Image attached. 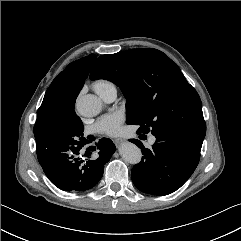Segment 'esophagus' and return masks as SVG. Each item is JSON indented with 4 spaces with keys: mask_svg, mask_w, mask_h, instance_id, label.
<instances>
[{
    "mask_svg": "<svg viewBox=\"0 0 241 241\" xmlns=\"http://www.w3.org/2000/svg\"><path fill=\"white\" fill-rule=\"evenodd\" d=\"M125 141H126V140H125L124 138H116V139L114 140V142H115L116 145H120V144L124 143Z\"/></svg>",
    "mask_w": 241,
    "mask_h": 241,
    "instance_id": "34e87169",
    "label": "esophagus"
}]
</instances>
